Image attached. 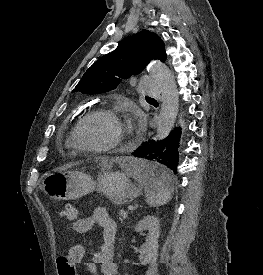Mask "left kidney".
Listing matches in <instances>:
<instances>
[{
  "label": "left kidney",
  "mask_w": 263,
  "mask_h": 275,
  "mask_svg": "<svg viewBox=\"0 0 263 275\" xmlns=\"http://www.w3.org/2000/svg\"><path fill=\"white\" fill-rule=\"evenodd\" d=\"M134 230L135 232L148 231L146 242L141 246L144 255L141 264L147 265L156 262L158 257V238L160 235L158 219L147 215L136 224Z\"/></svg>",
  "instance_id": "1"
}]
</instances>
